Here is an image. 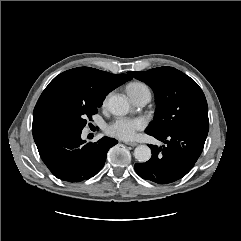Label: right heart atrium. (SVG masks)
I'll return each mask as SVG.
<instances>
[{
  "instance_id": "d8ad5b80",
  "label": "right heart atrium",
  "mask_w": 241,
  "mask_h": 241,
  "mask_svg": "<svg viewBox=\"0 0 241 241\" xmlns=\"http://www.w3.org/2000/svg\"><path fill=\"white\" fill-rule=\"evenodd\" d=\"M107 100H108V97H106V98H105V100H104V104H106V103H107Z\"/></svg>"
}]
</instances>
